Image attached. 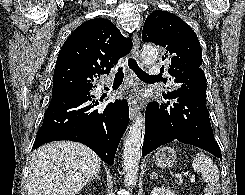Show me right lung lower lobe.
I'll return each mask as SVG.
<instances>
[{"mask_svg":"<svg viewBox=\"0 0 245 195\" xmlns=\"http://www.w3.org/2000/svg\"><path fill=\"white\" fill-rule=\"evenodd\" d=\"M91 85L52 96L32 150L44 143L70 140L91 148L104 162L112 165L129 121L126 100L100 106L90 91Z\"/></svg>","mask_w":245,"mask_h":195,"instance_id":"obj_1","label":"right lung lower lobe"}]
</instances>
